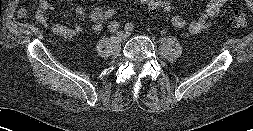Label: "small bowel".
<instances>
[{
    "label": "small bowel",
    "instance_id": "small-bowel-1",
    "mask_svg": "<svg viewBox=\"0 0 253 131\" xmlns=\"http://www.w3.org/2000/svg\"><path fill=\"white\" fill-rule=\"evenodd\" d=\"M226 1L227 0H209L206 6L199 12L197 19L188 23L184 17L175 15L171 18V23L177 29L187 26L191 35H199L209 28L211 19L219 14ZM39 7L42 13L54 11L56 9V6L49 0H39ZM17 14L19 18H25L27 10L25 8H20ZM76 14L82 19H88L92 23V28L95 32H100L102 30V25L104 23L103 8L96 7L89 11L84 6H78ZM41 21L43 22V19H41ZM52 31L65 39H72L82 32V26L77 24L74 27H67L55 23L52 26Z\"/></svg>",
    "mask_w": 253,
    "mask_h": 131
}]
</instances>
